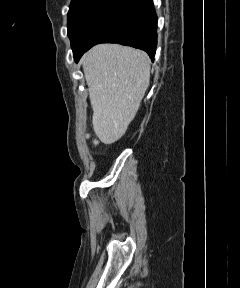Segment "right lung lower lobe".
Masks as SVG:
<instances>
[{
	"mask_svg": "<svg viewBox=\"0 0 240 288\" xmlns=\"http://www.w3.org/2000/svg\"><path fill=\"white\" fill-rule=\"evenodd\" d=\"M99 43L139 48L153 60L157 47V16L152 0H119L81 44L72 46L75 60Z\"/></svg>",
	"mask_w": 240,
	"mask_h": 288,
	"instance_id": "98d812e1",
	"label": "right lung lower lobe"
}]
</instances>
